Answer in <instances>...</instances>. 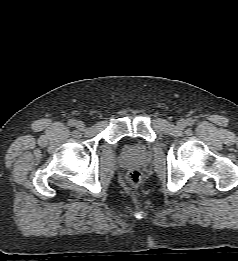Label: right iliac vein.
Segmentation results:
<instances>
[{"mask_svg":"<svg viewBox=\"0 0 238 261\" xmlns=\"http://www.w3.org/2000/svg\"><path fill=\"white\" fill-rule=\"evenodd\" d=\"M75 126H76V128L79 129V130H84V128H85V124H84L83 121H77V122L75 123Z\"/></svg>","mask_w":238,"mask_h":261,"instance_id":"1","label":"right iliac vein"}]
</instances>
